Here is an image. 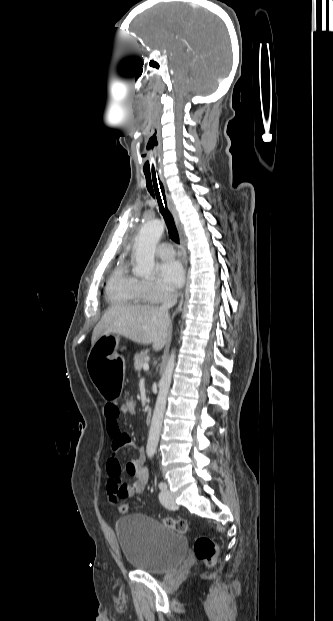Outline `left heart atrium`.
I'll use <instances>...</instances> for the list:
<instances>
[{"label": "left heart atrium", "instance_id": "1", "mask_svg": "<svg viewBox=\"0 0 333 621\" xmlns=\"http://www.w3.org/2000/svg\"><path fill=\"white\" fill-rule=\"evenodd\" d=\"M158 276L167 288L175 289L184 281V270L178 261H165L158 266Z\"/></svg>", "mask_w": 333, "mask_h": 621}]
</instances>
